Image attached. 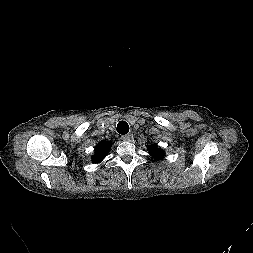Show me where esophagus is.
I'll return each instance as SVG.
<instances>
[{
  "mask_svg": "<svg viewBox=\"0 0 253 253\" xmlns=\"http://www.w3.org/2000/svg\"><path fill=\"white\" fill-rule=\"evenodd\" d=\"M122 140L124 141H131L133 139V136L131 134L123 135Z\"/></svg>",
  "mask_w": 253,
  "mask_h": 253,
  "instance_id": "34e87169",
  "label": "esophagus"
}]
</instances>
